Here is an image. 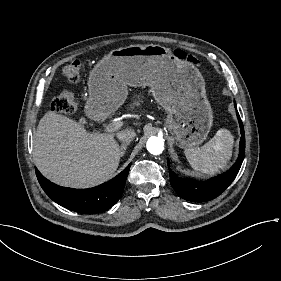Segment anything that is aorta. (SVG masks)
<instances>
[{"instance_id":"aorta-1","label":"aorta","mask_w":281,"mask_h":281,"mask_svg":"<svg viewBox=\"0 0 281 281\" xmlns=\"http://www.w3.org/2000/svg\"><path fill=\"white\" fill-rule=\"evenodd\" d=\"M147 150L153 155H159L164 150V142L160 137L152 136L147 141Z\"/></svg>"}]
</instances>
